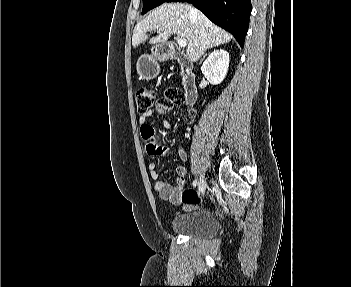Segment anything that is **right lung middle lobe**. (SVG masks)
I'll return each mask as SVG.
<instances>
[{
    "mask_svg": "<svg viewBox=\"0 0 351 287\" xmlns=\"http://www.w3.org/2000/svg\"><path fill=\"white\" fill-rule=\"evenodd\" d=\"M166 0H143L142 14L147 13L149 10L161 5Z\"/></svg>",
    "mask_w": 351,
    "mask_h": 287,
    "instance_id": "1",
    "label": "right lung middle lobe"
}]
</instances>
